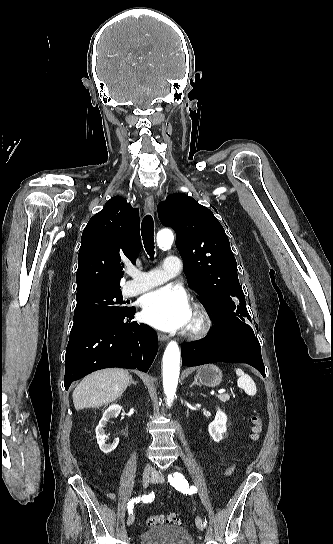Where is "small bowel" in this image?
Instances as JSON below:
<instances>
[{
    "label": "small bowel",
    "instance_id": "obj_1",
    "mask_svg": "<svg viewBox=\"0 0 333 544\" xmlns=\"http://www.w3.org/2000/svg\"><path fill=\"white\" fill-rule=\"evenodd\" d=\"M232 469H233V466H231V467L228 469L227 472H230ZM108 496H109L110 499H114V498H115L114 494H109Z\"/></svg>",
    "mask_w": 333,
    "mask_h": 544
}]
</instances>
